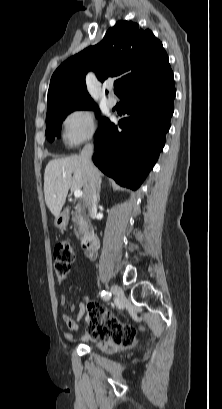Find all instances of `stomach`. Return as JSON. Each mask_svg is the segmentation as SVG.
<instances>
[{"label": "stomach", "instance_id": "stomach-1", "mask_svg": "<svg viewBox=\"0 0 222 409\" xmlns=\"http://www.w3.org/2000/svg\"><path fill=\"white\" fill-rule=\"evenodd\" d=\"M69 222V214L66 210L60 212L58 216L55 217L54 225L58 229L65 228Z\"/></svg>", "mask_w": 222, "mask_h": 409}]
</instances>
